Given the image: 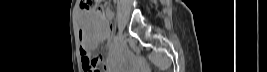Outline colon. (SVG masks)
Listing matches in <instances>:
<instances>
[{"label": "colon", "mask_w": 267, "mask_h": 72, "mask_svg": "<svg viewBox=\"0 0 267 72\" xmlns=\"http://www.w3.org/2000/svg\"><path fill=\"white\" fill-rule=\"evenodd\" d=\"M104 1L102 0H82L81 4L85 10L93 13L96 17L101 30H107L110 25L104 16ZM100 58L92 55L87 57V65L85 66L87 72H99Z\"/></svg>", "instance_id": "obj_1"}]
</instances>
